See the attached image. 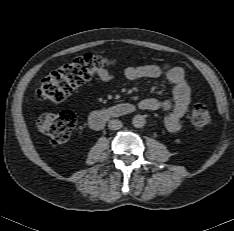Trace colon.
<instances>
[{
  "instance_id": "colon-1",
  "label": "colon",
  "mask_w": 234,
  "mask_h": 231,
  "mask_svg": "<svg viewBox=\"0 0 234 231\" xmlns=\"http://www.w3.org/2000/svg\"><path fill=\"white\" fill-rule=\"evenodd\" d=\"M114 65L110 58L94 54H84L62 65L55 72L45 76L37 91L39 99L59 102L67 98L77 87L96 75L106 72ZM191 123L198 130L211 123V115L204 103H197L191 112ZM76 125V117L70 111L46 113L38 120L39 130L56 145L68 141Z\"/></svg>"
}]
</instances>
